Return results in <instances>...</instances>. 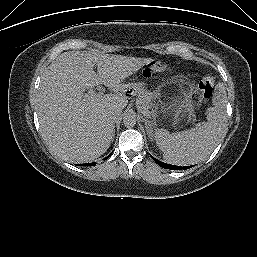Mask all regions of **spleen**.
Instances as JSON below:
<instances>
[{
	"label": "spleen",
	"mask_w": 257,
	"mask_h": 257,
	"mask_svg": "<svg viewBox=\"0 0 257 257\" xmlns=\"http://www.w3.org/2000/svg\"><path fill=\"white\" fill-rule=\"evenodd\" d=\"M212 104L203 125L172 134L165 129L155 131L154 138L165 162L192 165L210 156L227 131V97L222 84H218Z\"/></svg>",
	"instance_id": "obj_1"
}]
</instances>
